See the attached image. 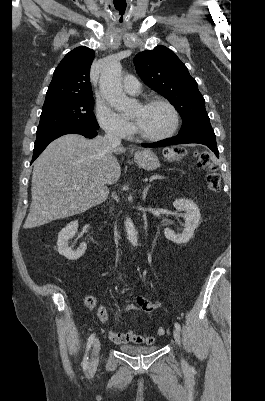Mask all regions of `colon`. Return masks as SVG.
<instances>
[{
	"mask_svg": "<svg viewBox=\"0 0 265 401\" xmlns=\"http://www.w3.org/2000/svg\"><path fill=\"white\" fill-rule=\"evenodd\" d=\"M164 157L169 161H180L187 156V152L181 147H169L163 152ZM196 160L199 167L207 170L206 183L207 187L212 192H219L221 187V177L212 164L209 155L207 153H196ZM87 304L92 307L94 305V300L92 298L87 299ZM165 329L159 327L157 334L163 336L165 334Z\"/></svg>",
	"mask_w": 265,
	"mask_h": 401,
	"instance_id": "5ec220e1",
	"label": "colon"
}]
</instances>
